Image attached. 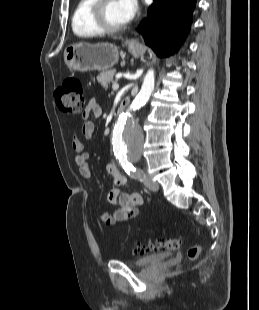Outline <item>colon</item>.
I'll return each mask as SVG.
<instances>
[{"instance_id":"colon-1","label":"colon","mask_w":259,"mask_h":310,"mask_svg":"<svg viewBox=\"0 0 259 310\" xmlns=\"http://www.w3.org/2000/svg\"><path fill=\"white\" fill-rule=\"evenodd\" d=\"M55 99L58 107L67 113H80L84 110V96L81 82L76 78H67L55 93ZM183 245L180 238L160 240L149 243H139L136 252L139 254H148L168 250H177ZM200 246L195 245L188 249V259L194 261L200 254Z\"/></svg>"}]
</instances>
